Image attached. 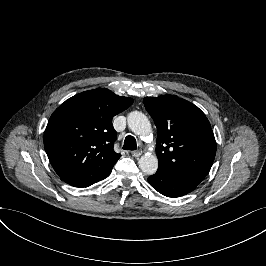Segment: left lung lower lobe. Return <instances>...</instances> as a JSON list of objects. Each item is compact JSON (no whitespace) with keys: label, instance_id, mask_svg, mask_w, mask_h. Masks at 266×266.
Wrapping results in <instances>:
<instances>
[{"label":"left lung lower lobe","instance_id":"obj_1","mask_svg":"<svg viewBox=\"0 0 266 266\" xmlns=\"http://www.w3.org/2000/svg\"><path fill=\"white\" fill-rule=\"evenodd\" d=\"M148 182L154 189L167 197H180L197 187L190 181L159 169L154 175L148 177Z\"/></svg>","mask_w":266,"mask_h":266}]
</instances>
